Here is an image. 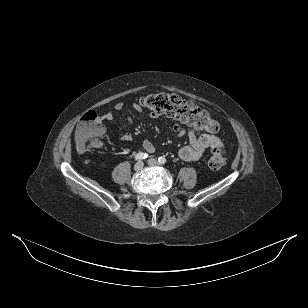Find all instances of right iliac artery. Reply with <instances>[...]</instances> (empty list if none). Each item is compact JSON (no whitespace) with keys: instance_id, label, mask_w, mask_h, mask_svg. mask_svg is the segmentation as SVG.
Segmentation results:
<instances>
[{"instance_id":"1","label":"right iliac artery","mask_w":308,"mask_h":308,"mask_svg":"<svg viewBox=\"0 0 308 308\" xmlns=\"http://www.w3.org/2000/svg\"><path fill=\"white\" fill-rule=\"evenodd\" d=\"M148 157V155L146 153L143 152H139L136 156H135V160L137 161H141L144 160Z\"/></svg>"}]
</instances>
